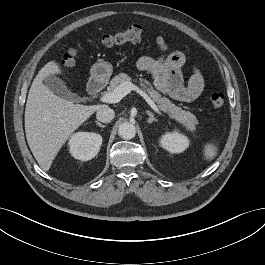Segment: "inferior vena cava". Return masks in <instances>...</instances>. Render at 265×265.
<instances>
[{
	"mask_svg": "<svg viewBox=\"0 0 265 265\" xmlns=\"http://www.w3.org/2000/svg\"><path fill=\"white\" fill-rule=\"evenodd\" d=\"M114 117H115L114 110L107 106L102 107L96 113V118L103 123L111 122L114 119Z\"/></svg>",
	"mask_w": 265,
	"mask_h": 265,
	"instance_id": "602c4592",
	"label": "inferior vena cava"
}]
</instances>
